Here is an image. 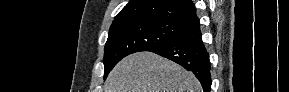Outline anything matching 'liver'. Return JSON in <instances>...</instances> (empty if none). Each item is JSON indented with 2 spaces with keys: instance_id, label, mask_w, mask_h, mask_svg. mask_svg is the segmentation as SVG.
<instances>
[{
  "instance_id": "1",
  "label": "liver",
  "mask_w": 289,
  "mask_h": 92,
  "mask_svg": "<svg viewBox=\"0 0 289 92\" xmlns=\"http://www.w3.org/2000/svg\"><path fill=\"white\" fill-rule=\"evenodd\" d=\"M105 92H202L192 72L152 52L121 60L110 72Z\"/></svg>"
}]
</instances>
